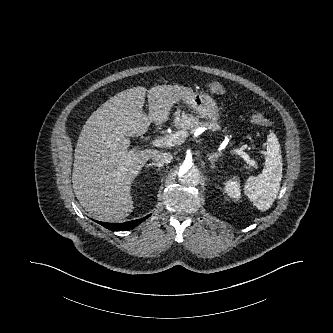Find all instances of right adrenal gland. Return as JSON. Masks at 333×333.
Returning <instances> with one entry per match:
<instances>
[{
	"instance_id": "right-adrenal-gland-1",
	"label": "right adrenal gland",
	"mask_w": 333,
	"mask_h": 333,
	"mask_svg": "<svg viewBox=\"0 0 333 333\" xmlns=\"http://www.w3.org/2000/svg\"><path fill=\"white\" fill-rule=\"evenodd\" d=\"M150 166H156L158 167L159 169L163 167V164H160V163H149L146 165V167H150Z\"/></svg>"
}]
</instances>
